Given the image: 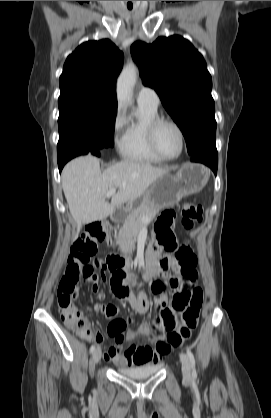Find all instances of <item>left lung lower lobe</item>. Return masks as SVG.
I'll use <instances>...</instances> for the list:
<instances>
[{
  "label": "left lung lower lobe",
  "mask_w": 271,
  "mask_h": 418,
  "mask_svg": "<svg viewBox=\"0 0 271 418\" xmlns=\"http://www.w3.org/2000/svg\"><path fill=\"white\" fill-rule=\"evenodd\" d=\"M191 161L200 162L209 166L216 175L218 167V153L216 147L204 150L196 155H193Z\"/></svg>",
  "instance_id": "left-lung-lower-lobe-1"
}]
</instances>
